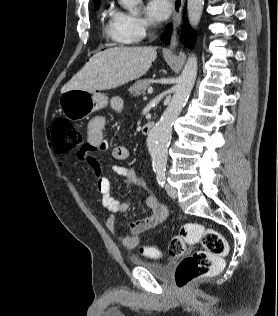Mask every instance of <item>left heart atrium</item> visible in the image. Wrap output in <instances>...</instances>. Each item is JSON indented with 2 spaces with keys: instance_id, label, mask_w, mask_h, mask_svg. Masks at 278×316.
<instances>
[{
  "instance_id": "left-heart-atrium-1",
  "label": "left heart atrium",
  "mask_w": 278,
  "mask_h": 316,
  "mask_svg": "<svg viewBox=\"0 0 278 316\" xmlns=\"http://www.w3.org/2000/svg\"><path fill=\"white\" fill-rule=\"evenodd\" d=\"M171 12L169 0H149L146 6L147 15L154 21L167 19Z\"/></svg>"
}]
</instances>
